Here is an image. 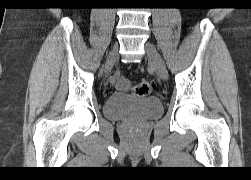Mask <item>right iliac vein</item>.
<instances>
[{
  "mask_svg": "<svg viewBox=\"0 0 251 180\" xmlns=\"http://www.w3.org/2000/svg\"><path fill=\"white\" fill-rule=\"evenodd\" d=\"M116 54H117V46L115 45L113 47V49L110 51L108 59H107V63H106V73L107 74L111 71V69L115 63Z\"/></svg>",
  "mask_w": 251,
  "mask_h": 180,
  "instance_id": "obj_1",
  "label": "right iliac vein"
}]
</instances>
